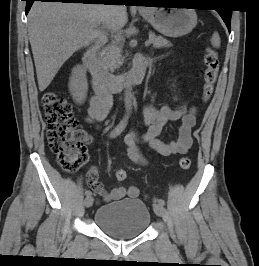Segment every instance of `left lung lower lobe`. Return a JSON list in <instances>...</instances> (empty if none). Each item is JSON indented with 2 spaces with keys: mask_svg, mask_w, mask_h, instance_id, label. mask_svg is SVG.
Wrapping results in <instances>:
<instances>
[{
  "mask_svg": "<svg viewBox=\"0 0 259 266\" xmlns=\"http://www.w3.org/2000/svg\"><path fill=\"white\" fill-rule=\"evenodd\" d=\"M174 0H163L160 1L158 0V2L156 1L155 3H172ZM181 1H190V0H181ZM183 3V2H181ZM189 3V2H188ZM220 13L221 18L223 19V21L225 22L229 32L231 29L230 23H231V15H232V11L229 9H218L217 10Z\"/></svg>",
  "mask_w": 259,
  "mask_h": 266,
  "instance_id": "left-lung-lower-lobe-1",
  "label": "left lung lower lobe"
}]
</instances>
